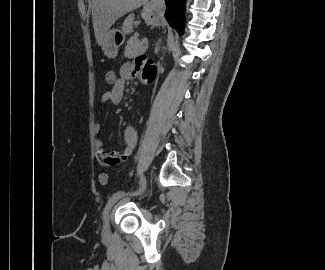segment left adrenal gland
<instances>
[{
    "mask_svg": "<svg viewBox=\"0 0 325 270\" xmlns=\"http://www.w3.org/2000/svg\"><path fill=\"white\" fill-rule=\"evenodd\" d=\"M159 50H160V47H159V44H158V45L156 46V48H155L156 53H158Z\"/></svg>",
    "mask_w": 325,
    "mask_h": 270,
    "instance_id": "1",
    "label": "left adrenal gland"
}]
</instances>
